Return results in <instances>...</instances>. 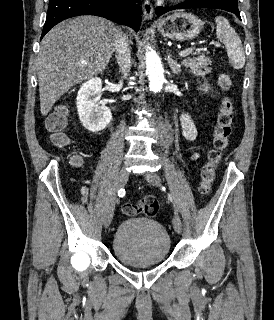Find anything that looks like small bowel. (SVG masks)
Wrapping results in <instances>:
<instances>
[{
    "label": "small bowel",
    "mask_w": 274,
    "mask_h": 320,
    "mask_svg": "<svg viewBox=\"0 0 274 320\" xmlns=\"http://www.w3.org/2000/svg\"><path fill=\"white\" fill-rule=\"evenodd\" d=\"M182 127H183V132L185 135V138L192 142L197 138V130L195 128V125L193 123L192 118L188 115L185 114L182 118ZM198 154L194 153L192 155V160L197 159ZM73 161H84V159L81 156H76L74 157ZM81 195H82V202L87 203L89 199V189L87 186H82L80 189Z\"/></svg>",
    "instance_id": "1"
}]
</instances>
